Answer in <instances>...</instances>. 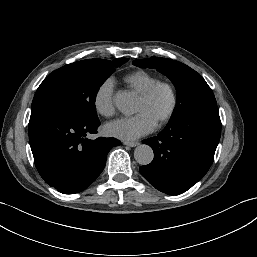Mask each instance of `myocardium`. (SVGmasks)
I'll use <instances>...</instances> for the list:
<instances>
[{"mask_svg":"<svg viewBox=\"0 0 257 257\" xmlns=\"http://www.w3.org/2000/svg\"><path fill=\"white\" fill-rule=\"evenodd\" d=\"M161 89H164L168 92L170 97V105L164 116L157 122L158 126L167 124L176 113L178 107V95L175 87L168 81L158 80L139 95V99L143 101H149Z\"/></svg>","mask_w":257,"mask_h":257,"instance_id":"1","label":"myocardium"}]
</instances>
